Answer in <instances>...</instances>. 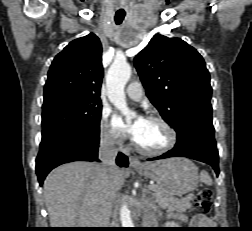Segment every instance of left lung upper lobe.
<instances>
[{
    "mask_svg": "<svg viewBox=\"0 0 252 231\" xmlns=\"http://www.w3.org/2000/svg\"><path fill=\"white\" fill-rule=\"evenodd\" d=\"M134 65L151 103L175 130L192 118L212 119L209 72L185 41L155 35Z\"/></svg>",
    "mask_w": 252,
    "mask_h": 231,
    "instance_id": "left-lung-upper-lobe-1",
    "label": "left lung upper lobe"
}]
</instances>
